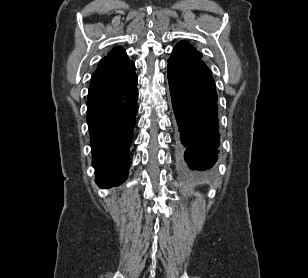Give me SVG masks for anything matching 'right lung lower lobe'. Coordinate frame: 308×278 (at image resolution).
<instances>
[{
	"label": "right lung lower lobe",
	"mask_w": 308,
	"mask_h": 278,
	"mask_svg": "<svg viewBox=\"0 0 308 278\" xmlns=\"http://www.w3.org/2000/svg\"><path fill=\"white\" fill-rule=\"evenodd\" d=\"M135 72L124 83L89 89L87 123L91 136L92 165L99 187L121 184L129 169V146L137 106Z\"/></svg>",
	"instance_id": "obj_1"
}]
</instances>
